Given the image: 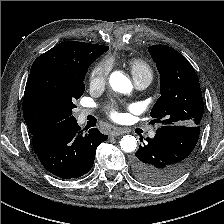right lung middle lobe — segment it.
<instances>
[{"mask_svg": "<svg viewBox=\"0 0 224 224\" xmlns=\"http://www.w3.org/2000/svg\"><path fill=\"white\" fill-rule=\"evenodd\" d=\"M92 62L80 66H44L30 70L22 105L29 131L75 121L72 116V110L76 107L74 101L85 90L83 80Z\"/></svg>", "mask_w": 224, "mask_h": 224, "instance_id": "obj_1", "label": "right lung middle lobe"}]
</instances>
